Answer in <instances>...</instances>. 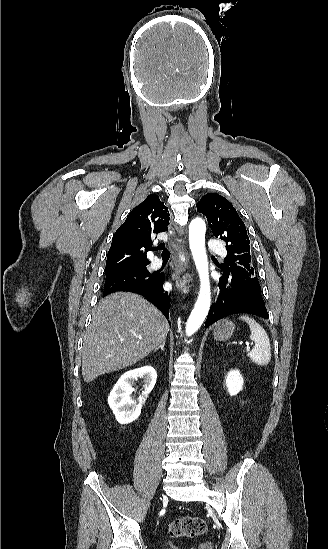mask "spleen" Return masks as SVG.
Returning <instances> with one entry per match:
<instances>
[{
    "instance_id": "3e777b00",
    "label": "spleen",
    "mask_w": 328,
    "mask_h": 549,
    "mask_svg": "<svg viewBox=\"0 0 328 549\" xmlns=\"http://www.w3.org/2000/svg\"><path fill=\"white\" fill-rule=\"evenodd\" d=\"M239 319L248 323L251 331L250 339L255 343L252 351H249L247 357H249L253 363H256V365H261V367L262 365L263 367L264 365H268L271 359V347L266 331H264L263 327H260L254 319L247 317V315H241Z\"/></svg>"
}]
</instances>
